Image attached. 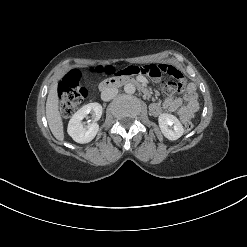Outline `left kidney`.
Here are the masks:
<instances>
[{
  "label": "left kidney",
  "mask_w": 247,
  "mask_h": 247,
  "mask_svg": "<svg viewBox=\"0 0 247 247\" xmlns=\"http://www.w3.org/2000/svg\"><path fill=\"white\" fill-rule=\"evenodd\" d=\"M158 122L161 132L169 140H177L184 133L181 122L172 114H161L158 118ZM169 126H172L173 129H170Z\"/></svg>",
  "instance_id": "left-kidney-1"
}]
</instances>
